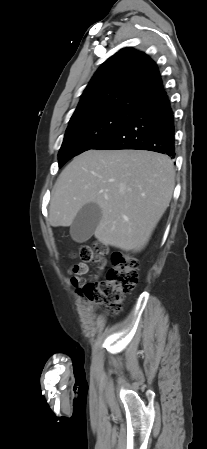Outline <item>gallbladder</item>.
<instances>
[{"mask_svg":"<svg viewBox=\"0 0 207 449\" xmlns=\"http://www.w3.org/2000/svg\"><path fill=\"white\" fill-rule=\"evenodd\" d=\"M102 218V210L95 203L84 205L70 227V234L74 241L83 243L91 238Z\"/></svg>","mask_w":207,"mask_h":449,"instance_id":"bac80fb5","label":"gallbladder"}]
</instances>
